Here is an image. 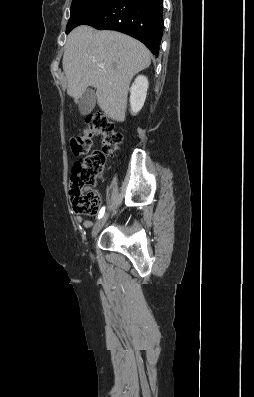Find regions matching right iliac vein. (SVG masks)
Masks as SVG:
<instances>
[{
    "instance_id": "right-iliac-vein-1",
    "label": "right iliac vein",
    "mask_w": 254,
    "mask_h": 397,
    "mask_svg": "<svg viewBox=\"0 0 254 397\" xmlns=\"http://www.w3.org/2000/svg\"><path fill=\"white\" fill-rule=\"evenodd\" d=\"M108 219V214H104L94 225L92 229V238L96 237V235L100 232L104 224L106 223Z\"/></svg>"
}]
</instances>
